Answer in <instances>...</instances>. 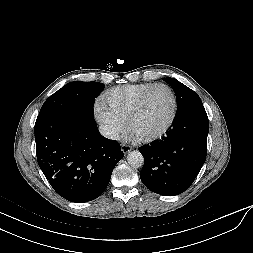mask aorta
Segmentation results:
<instances>
[{"label": "aorta", "instance_id": "aorta-1", "mask_svg": "<svg viewBox=\"0 0 253 253\" xmlns=\"http://www.w3.org/2000/svg\"><path fill=\"white\" fill-rule=\"evenodd\" d=\"M127 162L133 168H139L144 164V157L139 151H131L127 155Z\"/></svg>", "mask_w": 253, "mask_h": 253}]
</instances>
